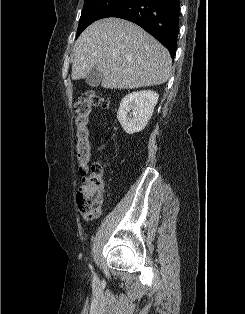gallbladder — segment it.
<instances>
[{
	"mask_svg": "<svg viewBox=\"0 0 245 314\" xmlns=\"http://www.w3.org/2000/svg\"><path fill=\"white\" fill-rule=\"evenodd\" d=\"M102 73L94 67L86 76L85 81L91 87H98L102 81Z\"/></svg>",
	"mask_w": 245,
	"mask_h": 314,
	"instance_id": "gallbladder-1",
	"label": "gallbladder"
}]
</instances>
